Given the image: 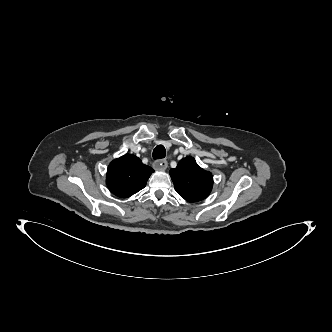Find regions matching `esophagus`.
<instances>
[{
    "label": "esophagus",
    "mask_w": 332,
    "mask_h": 332,
    "mask_svg": "<svg viewBox=\"0 0 332 332\" xmlns=\"http://www.w3.org/2000/svg\"><path fill=\"white\" fill-rule=\"evenodd\" d=\"M153 166L158 171H164L167 169L168 162L164 159H159L154 162Z\"/></svg>",
    "instance_id": "34e87169"
}]
</instances>
